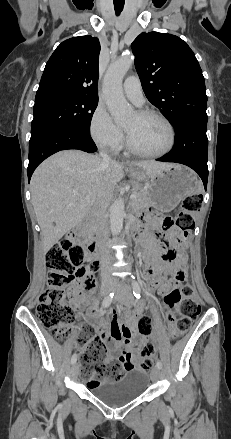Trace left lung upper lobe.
<instances>
[{
    "label": "left lung upper lobe",
    "mask_w": 231,
    "mask_h": 439,
    "mask_svg": "<svg viewBox=\"0 0 231 439\" xmlns=\"http://www.w3.org/2000/svg\"><path fill=\"white\" fill-rule=\"evenodd\" d=\"M131 47L147 99L174 129L187 117L206 115L204 77L185 41L175 35L149 32L141 33Z\"/></svg>",
    "instance_id": "5c2ea615"
}]
</instances>
